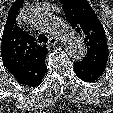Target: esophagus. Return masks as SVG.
I'll list each match as a JSON object with an SVG mask.
<instances>
[{"instance_id": "esophagus-1", "label": "esophagus", "mask_w": 113, "mask_h": 113, "mask_svg": "<svg viewBox=\"0 0 113 113\" xmlns=\"http://www.w3.org/2000/svg\"><path fill=\"white\" fill-rule=\"evenodd\" d=\"M48 44H49L50 46H55L56 44H58V39H57V38H54V37H51V38L49 39Z\"/></svg>"}]
</instances>
